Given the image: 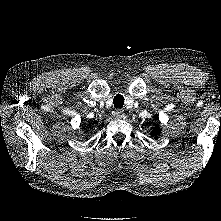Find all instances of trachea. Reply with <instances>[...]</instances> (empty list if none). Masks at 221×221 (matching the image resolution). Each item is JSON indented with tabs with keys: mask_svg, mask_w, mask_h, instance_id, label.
<instances>
[{
	"mask_svg": "<svg viewBox=\"0 0 221 221\" xmlns=\"http://www.w3.org/2000/svg\"><path fill=\"white\" fill-rule=\"evenodd\" d=\"M114 107L122 108L124 105V97L121 94H118L113 99Z\"/></svg>",
	"mask_w": 221,
	"mask_h": 221,
	"instance_id": "1",
	"label": "trachea"
}]
</instances>
